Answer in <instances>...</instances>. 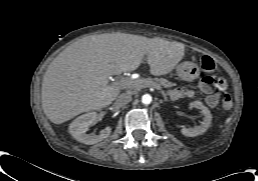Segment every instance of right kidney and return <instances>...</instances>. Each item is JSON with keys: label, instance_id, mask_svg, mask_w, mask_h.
I'll return each instance as SVG.
<instances>
[{"label": "right kidney", "instance_id": "right-kidney-1", "mask_svg": "<svg viewBox=\"0 0 258 181\" xmlns=\"http://www.w3.org/2000/svg\"><path fill=\"white\" fill-rule=\"evenodd\" d=\"M97 113L88 112L77 117L69 126V132L77 141L92 145L106 139L111 133V127L107 126L98 135L86 134L88 128L96 121Z\"/></svg>", "mask_w": 258, "mask_h": 181}]
</instances>
